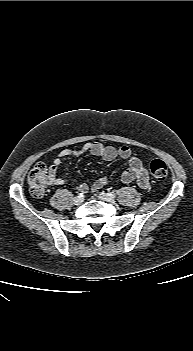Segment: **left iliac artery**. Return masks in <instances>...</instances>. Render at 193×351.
<instances>
[{
	"mask_svg": "<svg viewBox=\"0 0 193 351\" xmlns=\"http://www.w3.org/2000/svg\"><path fill=\"white\" fill-rule=\"evenodd\" d=\"M110 196H112L113 198H115L116 197V194L114 193V192H110V193H108Z\"/></svg>",
	"mask_w": 193,
	"mask_h": 351,
	"instance_id": "left-iliac-artery-1",
	"label": "left iliac artery"
}]
</instances>
